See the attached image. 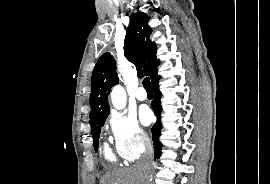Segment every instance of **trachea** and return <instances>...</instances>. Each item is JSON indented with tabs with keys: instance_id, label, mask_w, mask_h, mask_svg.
<instances>
[{
	"instance_id": "1",
	"label": "trachea",
	"mask_w": 270,
	"mask_h": 184,
	"mask_svg": "<svg viewBox=\"0 0 270 184\" xmlns=\"http://www.w3.org/2000/svg\"><path fill=\"white\" fill-rule=\"evenodd\" d=\"M143 86L145 88L146 91H152V87H151V83H150V79L149 78H145L143 80Z\"/></svg>"
}]
</instances>
